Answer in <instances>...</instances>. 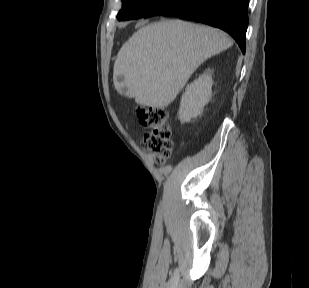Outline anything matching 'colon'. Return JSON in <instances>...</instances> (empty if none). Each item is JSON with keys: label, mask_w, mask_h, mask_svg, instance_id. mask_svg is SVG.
Instances as JSON below:
<instances>
[{"label": "colon", "mask_w": 309, "mask_h": 288, "mask_svg": "<svg viewBox=\"0 0 309 288\" xmlns=\"http://www.w3.org/2000/svg\"><path fill=\"white\" fill-rule=\"evenodd\" d=\"M140 124L150 131L142 140V148L155 154V162L163 166L173 149V131L168 123V111L161 107L140 106L136 110Z\"/></svg>", "instance_id": "1"}]
</instances>
